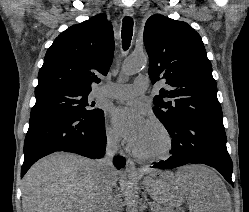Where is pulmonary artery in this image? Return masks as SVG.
I'll use <instances>...</instances> for the list:
<instances>
[{"label": "pulmonary artery", "instance_id": "pulmonary-artery-1", "mask_svg": "<svg viewBox=\"0 0 249 212\" xmlns=\"http://www.w3.org/2000/svg\"><path fill=\"white\" fill-rule=\"evenodd\" d=\"M148 87V78L139 75L132 84L108 83L101 88V94L114 99H131L144 94Z\"/></svg>", "mask_w": 249, "mask_h": 212}]
</instances>
